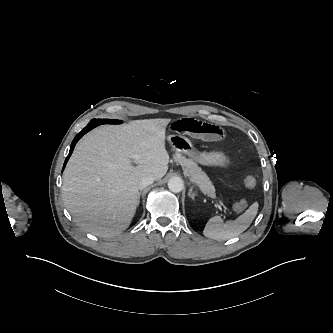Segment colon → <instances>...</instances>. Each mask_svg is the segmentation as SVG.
Returning a JSON list of instances; mask_svg holds the SVG:
<instances>
[{
    "label": "colon",
    "mask_w": 333,
    "mask_h": 333,
    "mask_svg": "<svg viewBox=\"0 0 333 333\" xmlns=\"http://www.w3.org/2000/svg\"><path fill=\"white\" fill-rule=\"evenodd\" d=\"M243 184L246 188L248 189H253L257 185V181L254 177L252 176H246L243 180ZM247 207V202L244 199L238 200L234 205H233V210L236 213H241L243 212Z\"/></svg>",
    "instance_id": "5ec220e1"
}]
</instances>
